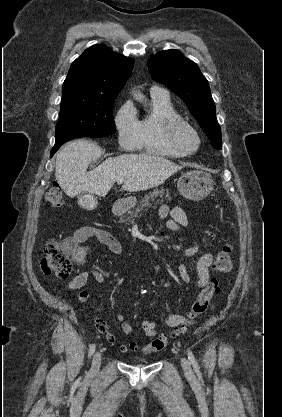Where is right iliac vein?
<instances>
[{
	"mask_svg": "<svg viewBox=\"0 0 282 417\" xmlns=\"http://www.w3.org/2000/svg\"><path fill=\"white\" fill-rule=\"evenodd\" d=\"M101 365V353L97 352L94 354L92 359V366H91V372L96 373L98 372Z\"/></svg>",
	"mask_w": 282,
	"mask_h": 417,
	"instance_id": "1",
	"label": "right iliac vein"
}]
</instances>
